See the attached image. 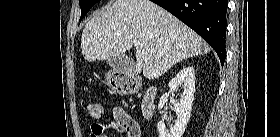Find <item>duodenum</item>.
I'll use <instances>...</instances> for the list:
<instances>
[{
	"label": "duodenum",
	"mask_w": 280,
	"mask_h": 137,
	"mask_svg": "<svg viewBox=\"0 0 280 137\" xmlns=\"http://www.w3.org/2000/svg\"><path fill=\"white\" fill-rule=\"evenodd\" d=\"M156 95V89H149L144 93L140 105L141 114L144 118L151 119L153 117Z\"/></svg>",
	"instance_id": "410a0bca"
}]
</instances>
